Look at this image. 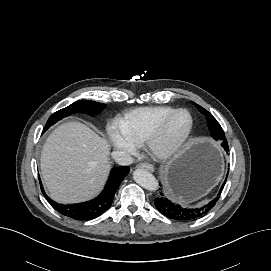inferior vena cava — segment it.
Instances as JSON below:
<instances>
[{"label": "inferior vena cava", "mask_w": 271, "mask_h": 271, "mask_svg": "<svg viewBox=\"0 0 271 271\" xmlns=\"http://www.w3.org/2000/svg\"><path fill=\"white\" fill-rule=\"evenodd\" d=\"M111 156L119 165L127 166L133 163V158L125 151H113Z\"/></svg>", "instance_id": "602c4592"}]
</instances>
